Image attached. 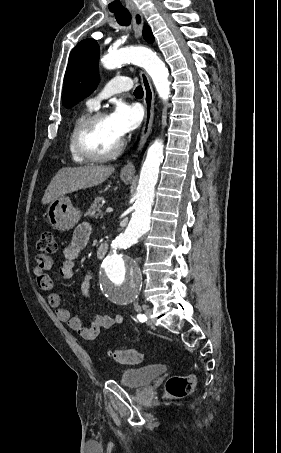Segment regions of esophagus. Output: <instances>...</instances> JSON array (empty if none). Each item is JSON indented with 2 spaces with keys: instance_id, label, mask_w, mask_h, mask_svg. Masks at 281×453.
Returning <instances> with one entry per match:
<instances>
[{
  "instance_id": "obj_1",
  "label": "esophagus",
  "mask_w": 281,
  "mask_h": 453,
  "mask_svg": "<svg viewBox=\"0 0 281 453\" xmlns=\"http://www.w3.org/2000/svg\"><path fill=\"white\" fill-rule=\"evenodd\" d=\"M133 19V30L136 39H139L143 27V15L138 9L130 10ZM140 79L144 90V107L145 116L142 126L140 141L137 149V153L143 148L147 138L150 135L151 127L153 123V111H154V92L150 80L147 74L141 70ZM121 173L124 175H133L135 173V167L132 161L128 162L122 169Z\"/></svg>"
}]
</instances>
